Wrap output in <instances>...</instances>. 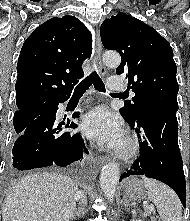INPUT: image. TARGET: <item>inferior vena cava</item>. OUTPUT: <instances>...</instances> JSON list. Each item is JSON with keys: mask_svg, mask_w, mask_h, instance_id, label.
<instances>
[{"mask_svg": "<svg viewBox=\"0 0 190 221\" xmlns=\"http://www.w3.org/2000/svg\"><path fill=\"white\" fill-rule=\"evenodd\" d=\"M76 198H77V200H80V204L82 206L86 205L87 200H86V197H85V194L83 191H78L76 194ZM79 209H82V208H79Z\"/></svg>", "mask_w": 190, "mask_h": 221, "instance_id": "obj_1", "label": "inferior vena cava"}]
</instances>
